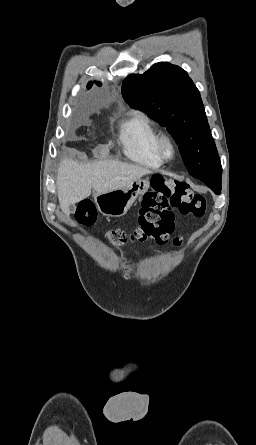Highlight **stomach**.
<instances>
[{"mask_svg":"<svg viewBox=\"0 0 256 445\" xmlns=\"http://www.w3.org/2000/svg\"><path fill=\"white\" fill-rule=\"evenodd\" d=\"M149 177L138 179L127 187L97 194L94 198L99 211L107 217H119L127 213L138 197L150 187Z\"/></svg>","mask_w":256,"mask_h":445,"instance_id":"stomach-1","label":"stomach"}]
</instances>
